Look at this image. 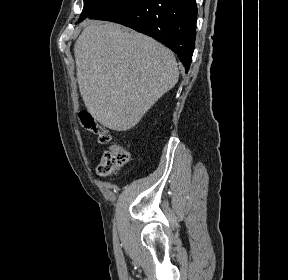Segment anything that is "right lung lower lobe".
<instances>
[{
	"instance_id": "1",
	"label": "right lung lower lobe",
	"mask_w": 288,
	"mask_h": 280,
	"mask_svg": "<svg viewBox=\"0 0 288 280\" xmlns=\"http://www.w3.org/2000/svg\"><path fill=\"white\" fill-rule=\"evenodd\" d=\"M195 0H112L88 18L123 24L163 43L177 55L186 72L195 47Z\"/></svg>"
}]
</instances>
